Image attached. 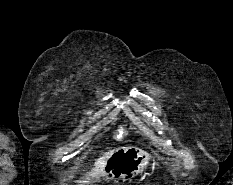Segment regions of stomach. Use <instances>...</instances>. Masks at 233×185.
Listing matches in <instances>:
<instances>
[{
  "mask_svg": "<svg viewBox=\"0 0 233 185\" xmlns=\"http://www.w3.org/2000/svg\"><path fill=\"white\" fill-rule=\"evenodd\" d=\"M150 155L135 146L118 148L108 158L103 167V178L107 181L131 180L148 165Z\"/></svg>",
  "mask_w": 233,
  "mask_h": 185,
  "instance_id": "0dacf381",
  "label": "stomach"
}]
</instances>
